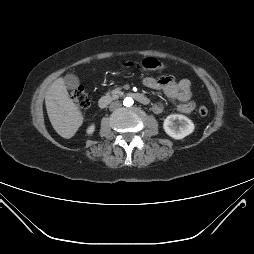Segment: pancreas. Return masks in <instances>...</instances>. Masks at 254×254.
<instances>
[{"mask_svg": "<svg viewBox=\"0 0 254 254\" xmlns=\"http://www.w3.org/2000/svg\"><path fill=\"white\" fill-rule=\"evenodd\" d=\"M110 93L115 96V95L122 94V91H121V88H116V89L111 90Z\"/></svg>", "mask_w": 254, "mask_h": 254, "instance_id": "pancreas-1", "label": "pancreas"}]
</instances>
